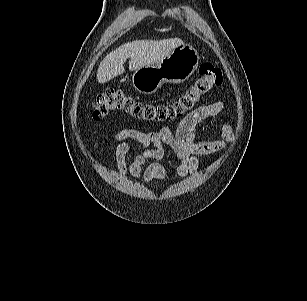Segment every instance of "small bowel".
<instances>
[{
    "label": "small bowel",
    "mask_w": 307,
    "mask_h": 301,
    "mask_svg": "<svg viewBox=\"0 0 307 301\" xmlns=\"http://www.w3.org/2000/svg\"><path fill=\"white\" fill-rule=\"evenodd\" d=\"M223 107L224 104L220 101L203 105L186 116L176 130L168 127L151 132L134 128L118 130L111 141L116 144L114 158L119 174L130 176L133 180L142 178L146 183L156 180L164 182L166 170L158 161L165 157L166 147L180 160L176 169L179 177L195 173L199 168L200 156L216 153L233 139L229 126L223 127L220 140L195 139L196 126L205 119L218 115ZM136 149L141 150V153L128 164V153ZM147 163L149 164L144 168Z\"/></svg>",
    "instance_id": "c3829d8e"
}]
</instances>
